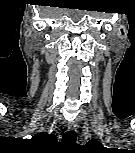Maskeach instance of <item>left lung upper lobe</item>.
<instances>
[{"mask_svg": "<svg viewBox=\"0 0 135 153\" xmlns=\"http://www.w3.org/2000/svg\"><path fill=\"white\" fill-rule=\"evenodd\" d=\"M87 145H90V146H93V147H96V148H102V144L99 143L97 140H91L87 143Z\"/></svg>", "mask_w": 135, "mask_h": 153, "instance_id": "obj_1", "label": "left lung upper lobe"}]
</instances>
